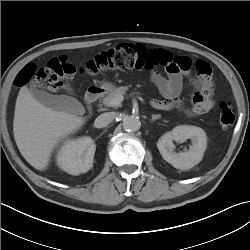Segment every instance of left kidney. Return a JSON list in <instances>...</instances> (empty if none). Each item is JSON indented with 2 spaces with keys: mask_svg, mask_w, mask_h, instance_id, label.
Instances as JSON below:
<instances>
[{
  "mask_svg": "<svg viewBox=\"0 0 250 250\" xmlns=\"http://www.w3.org/2000/svg\"><path fill=\"white\" fill-rule=\"evenodd\" d=\"M191 139L192 146L186 152H174L173 141ZM207 147V136L204 130L196 126L180 125L165 133L157 142V148L163 159L173 167L188 170L198 164Z\"/></svg>",
  "mask_w": 250,
  "mask_h": 250,
  "instance_id": "obj_1",
  "label": "left kidney"
}]
</instances>
